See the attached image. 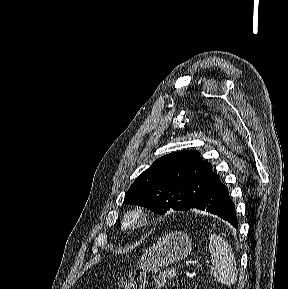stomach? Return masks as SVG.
<instances>
[{"label":"stomach","instance_id":"obj_1","mask_svg":"<svg viewBox=\"0 0 288 289\" xmlns=\"http://www.w3.org/2000/svg\"><path fill=\"white\" fill-rule=\"evenodd\" d=\"M192 249L190 236L174 231L160 238L141 256L139 268L146 273L158 272L176 261L188 256Z\"/></svg>","mask_w":288,"mask_h":289}]
</instances>
